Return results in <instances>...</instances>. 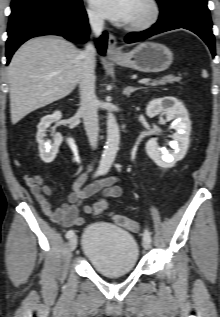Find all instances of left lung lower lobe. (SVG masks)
Wrapping results in <instances>:
<instances>
[{"label": "left lung lower lobe", "instance_id": "0a47b994", "mask_svg": "<svg viewBox=\"0 0 220 317\" xmlns=\"http://www.w3.org/2000/svg\"><path fill=\"white\" fill-rule=\"evenodd\" d=\"M178 28L188 29L200 36L209 46L212 55H216L207 0H171L160 6V17L156 24L145 31L129 34L125 41L132 43Z\"/></svg>", "mask_w": 220, "mask_h": 317}]
</instances>
